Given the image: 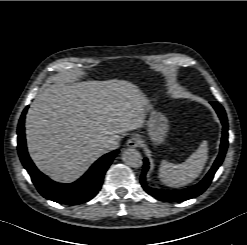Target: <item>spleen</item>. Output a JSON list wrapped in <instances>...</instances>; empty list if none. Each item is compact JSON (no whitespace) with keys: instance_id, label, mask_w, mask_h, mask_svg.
<instances>
[{"instance_id":"3e777b00","label":"spleen","mask_w":247,"mask_h":245,"mask_svg":"<svg viewBox=\"0 0 247 245\" xmlns=\"http://www.w3.org/2000/svg\"><path fill=\"white\" fill-rule=\"evenodd\" d=\"M208 159V143L203 141L183 163L173 164L166 160L161 162L159 168L160 180L169 187H182L193 182L204 169Z\"/></svg>"}]
</instances>
